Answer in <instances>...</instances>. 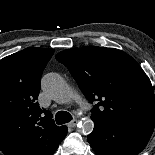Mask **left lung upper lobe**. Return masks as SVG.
I'll use <instances>...</instances> for the list:
<instances>
[{"mask_svg": "<svg viewBox=\"0 0 155 155\" xmlns=\"http://www.w3.org/2000/svg\"><path fill=\"white\" fill-rule=\"evenodd\" d=\"M96 107L92 120L154 121L155 96L150 79L127 53L97 46L66 49L56 55Z\"/></svg>", "mask_w": 155, "mask_h": 155, "instance_id": "left-lung-upper-lobe-1", "label": "left lung upper lobe"}]
</instances>
